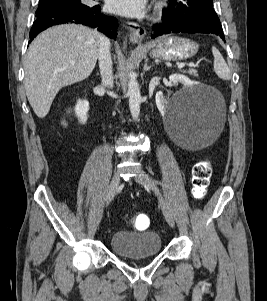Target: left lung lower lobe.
<instances>
[{
	"instance_id": "obj_1",
	"label": "left lung lower lobe",
	"mask_w": 267,
	"mask_h": 301,
	"mask_svg": "<svg viewBox=\"0 0 267 301\" xmlns=\"http://www.w3.org/2000/svg\"><path fill=\"white\" fill-rule=\"evenodd\" d=\"M164 23L154 25L152 29L154 30L151 38H155L164 34L170 33H206L215 34L220 38L224 39V34L222 29H218L200 21H170L164 19Z\"/></svg>"
}]
</instances>
